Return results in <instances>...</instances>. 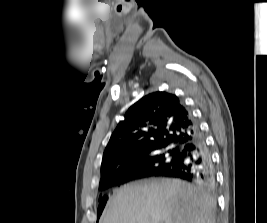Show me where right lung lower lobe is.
Listing matches in <instances>:
<instances>
[{
	"instance_id": "obj_1",
	"label": "right lung lower lobe",
	"mask_w": 267,
	"mask_h": 223,
	"mask_svg": "<svg viewBox=\"0 0 267 223\" xmlns=\"http://www.w3.org/2000/svg\"><path fill=\"white\" fill-rule=\"evenodd\" d=\"M195 138L179 151L176 162L169 168L152 176L168 177L196 183L206 188H213L215 183L212 159L204 138L196 128ZM136 174H120L107 179L102 189L120 186L126 182L145 178Z\"/></svg>"
}]
</instances>
